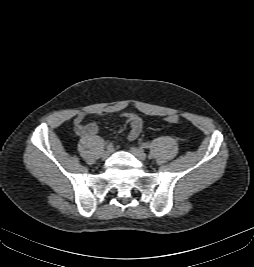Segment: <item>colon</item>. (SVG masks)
Wrapping results in <instances>:
<instances>
[{
	"label": "colon",
	"mask_w": 254,
	"mask_h": 267,
	"mask_svg": "<svg viewBox=\"0 0 254 267\" xmlns=\"http://www.w3.org/2000/svg\"><path fill=\"white\" fill-rule=\"evenodd\" d=\"M165 120L168 122V123H177L179 118L177 115H168L166 116Z\"/></svg>",
	"instance_id": "1"
}]
</instances>
